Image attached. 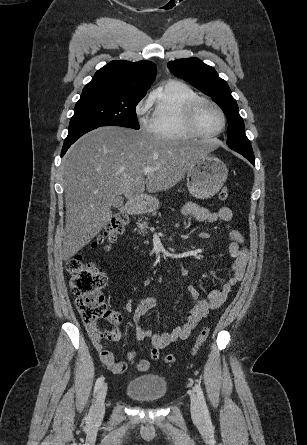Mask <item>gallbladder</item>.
<instances>
[{"label":"gallbladder","mask_w":307,"mask_h":445,"mask_svg":"<svg viewBox=\"0 0 307 445\" xmlns=\"http://www.w3.org/2000/svg\"><path fill=\"white\" fill-rule=\"evenodd\" d=\"M124 202V196L117 195L114 200H112L111 205L112 209L118 210L122 206Z\"/></svg>","instance_id":"gallbladder-1"}]
</instances>
